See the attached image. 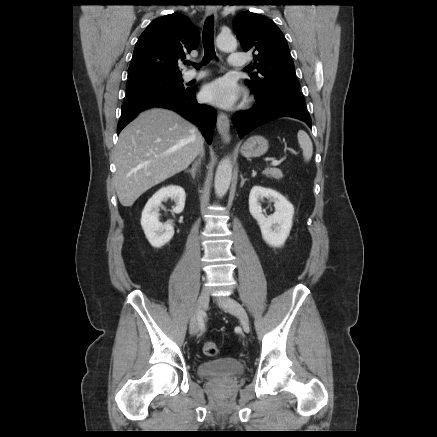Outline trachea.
Wrapping results in <instances>:
<instances>
[{"label":"trachea","mask_w":437,"mask_h":437,"mask_svg":"<svg viewBox=\"0 0 437 437\" xmlns=\"http://www.w3.org/2000/svg\"><path fill=\"white\" fill-rule=\"evenodd\" d=\"M214 17L210 16L206 19L203 27L202 39H203V47H204V58L201 65L207 64L211 59L215 57L214 50ZM185 64L189 65L190 62H186ZM200 65H195L198 68Z\"/></svg>","instance_id":"trachea-1"}]
</instances>
